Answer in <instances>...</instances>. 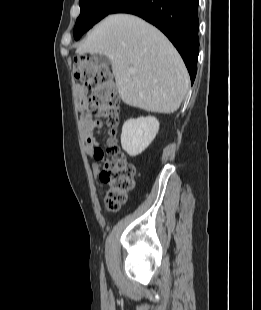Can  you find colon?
<instances>
[{"mask_svg": "<svg viewBox=\"0 0 261 310\" xmlns=\"http://www.w3.org/2000/svg\"><path fill=\"white\" fill-rule=\"evenodd\" d=\"M73 73L80 85L91 89V95L83 101V107L96 126L102 119L108 128L106 147L94 149V157L104 162L100 179L108 186L105 207L108 211L119 210L128 200L134 188L135 168L120 151L115 134L118 125L120 100L110 69L88 55L74 58Z\"/></svg>", "mask_w": 261, "mask_h": 310, "instance_id": "5ec220e1", "label": "colon"}]
</instances>
